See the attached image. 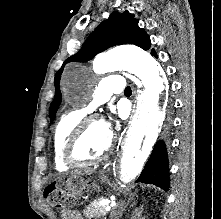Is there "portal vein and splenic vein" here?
I'll list each match as a JSON object with an SVG mask.
<instances>
[{
  "mask_svg": "<svg viewBox=\"0 0 221 219\" xmlns=\"http://www.w3.org/2000/svg\"><path fill=\"white\" fill-rule=\"evenodd\" d=\"M102 205H105V211L109 212L111 210V206L114 205V202H112L110 206L106 202H102Z\"/></svg>",
  "mask_w": 221,
  "mask_h": 219,
  "instance_id": "portal-vein-and-splenic-vein-1",
  "label": "portal vein and splenic vein"
}]
</instances>
